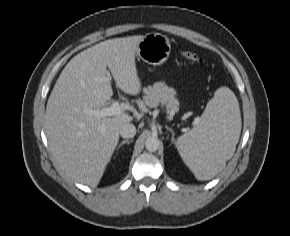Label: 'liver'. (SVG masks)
<instances>
[{"instance_id":"6515ba94","label":"liver","mask_w":290,"mask_h":236,"mask_svg":"<svg viewBox=\"0 0 290 236\" xmlns=\"http://www.w3.org/2000/svg\"><path fill=\"white\" fill-rule=\"evenodd\" d=\"M143 37L109 39L80 52L62 70L49 96L45 125L50 150L59 169L82 184H99L121 126L133 120L125 112L97 118L88 111L105 108L111 100L107 67L119 89L140 93L135 56Z\"/></svg>"}]
</instances>
